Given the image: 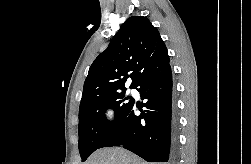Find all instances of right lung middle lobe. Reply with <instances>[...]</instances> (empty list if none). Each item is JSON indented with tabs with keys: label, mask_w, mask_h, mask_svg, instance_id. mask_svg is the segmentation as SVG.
Returning a JSON list of instances; mask_svg holds the SVG:
<instances>
[{
	"label": "right lung middle lobe",
	"mask_w": 251,
	"mask_h": 164,
	"mask_svg": "<svg viewBox=\"0 0 251 164\" xmlns=\"http://www.w3.org/2000/svg\"><path fill=\"white\" fill-rule=\"evenodd\" d=\"M125 91L112 93L97 98L92 103L79 109V152L82 161H85L103 140L111 133L117 124L123 119L133 101H124ZM108 108L114 109L115 121H108L105 112Z\"/></svg>",
	"instance_id": "dd1d6c3e"
}]
</instances>
